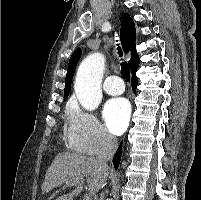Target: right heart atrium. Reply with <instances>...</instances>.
Returning <instances> with one entry per match:
<instances>
[{"mask_svg": "<svg viewBox=\"0 0 201 200\" xmlns=\"http://www.w3.org/2000/svg\"><path fill=\"white\" fill-rule=\"evenodd\" d=\"M68 120L67 139L72 149L94 155L115 148L116 139L105 129L94 113L73 105L68 110Z\"/></svg>", "mask_w": 201, "mask_h": 200, "instance_id": "d8ad5b80", "label": "right heart atrium"}]
</instances>
